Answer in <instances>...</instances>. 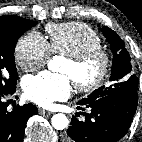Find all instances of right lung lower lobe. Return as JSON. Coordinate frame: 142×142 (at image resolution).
<instances>
[{"instance_id":"1","label":"right lung lower lobe","mask_w":142,"mask_h":142,"mask_svg":"<svg viewBox=\"0 0 142 142\" xmlns=\"http://www.w3.org/2000/svg\"><path fill=\"white\" fill-rule=\"evenodd\" d=\"M15 91L16 86L0 94V142H23L27 120L38 113L37 107L32 104L18 105L13 111H7L8 103L3 99Z\"/></svg>"}]
</instances>
